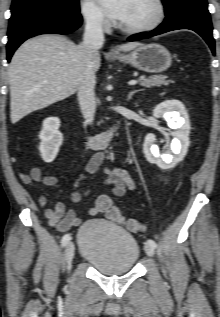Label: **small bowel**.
Listing matches in <instances>:
<instances>
[{
    "label": "small bowel",
    "instance_id": "obj_1",
    "mask_svg": "<svg viewBox=\"0 0 220 317\" xmlns=\"http://www.w3.org/2000/svg\"><path fill=\"white\" fill-rule=\"evenodd\" d=\"M104 157L102 155L92 158L85 167V171L78 176L74 182V191L70 195V201L78 203L88 194L89 191L82 192L79 190L80 185L84 182L88 175L97 171ZM107 177L103 183L111 186L114 196L120 197L125 194L127 190H134L136 188L133 178L123 169L107 168ZM20 180L26 184L42 183L46 186H53L58 183V178L54 175H44L39 168H33L29 174H21ZM110 199L107 195H100L97 197L93 206L89 207L87 212L91 216L104 213L103 201ZM39 202L42 206L46 205V197L39 196ZM49 224L55 227L58 231L64 232L72 227L78 226L81 223V218L77 216L76 212L71 209H66L65 205L59 203L54 208H47L44 211Z\"/></svg>",
    "mask_w": 220,
    "mask_h": 317
}]
</instances>
